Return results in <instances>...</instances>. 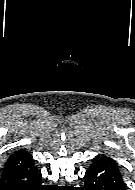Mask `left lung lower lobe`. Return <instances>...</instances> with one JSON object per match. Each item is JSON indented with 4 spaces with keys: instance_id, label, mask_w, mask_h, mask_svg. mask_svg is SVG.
Returning <instances> with one entry per match:
<instances>
[{
    "instance_id": "left-lung-lower-lobe-1",
    "label": "left lung lower lobe",
    "mask_w": 135,
    "mask_h": 190,
    "mask_svg": "<svg viewBox=\"0 0 135 190\" xmlns=\"http://www.w3.org/2000/svg\"><path fill=\"white\" fill-rule=\"evenodd\" d=\"M83 190H125L118 164L106 156H97L85 173Z\"/></svg>"
}]
</instances>
